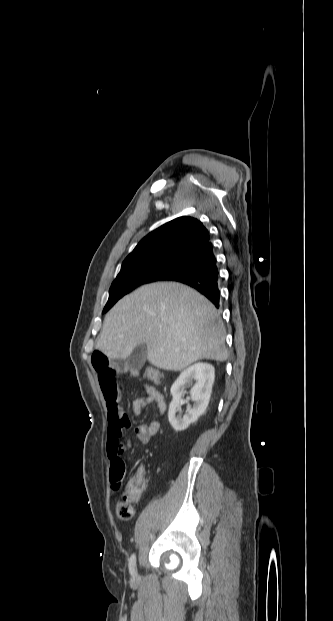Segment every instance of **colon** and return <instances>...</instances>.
I'll use <instances>...</instances> for the list:
<instances>
[{
  "instance_id": "colon-1",
  "label": "colon",
  "mask_w": 333,
  "mask_h": 621,
  "mask_svg": "<svg viewBox=\"0 0 333 621\" xmlns=\"http://www.w3.org/2000/svg\"><path fill=\"white\" fill-rule=\"evenodd\" d=\"M145 377L152 383L160 382L161 374L155 367L149 366L145 369ZM126 465L124 462H116L110 467V482L115 491L121 490V495L117 503L116 512L121 520H129L134 514L132 504L136 502L146 487V472L140 467L136 472L125 481Z\"/></svg>"
}]
</instances>
